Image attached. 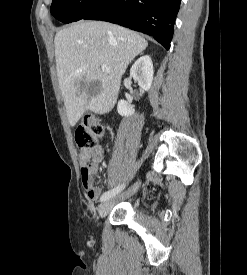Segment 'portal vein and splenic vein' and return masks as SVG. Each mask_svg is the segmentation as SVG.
Listing matches in <instances>:
<instances>
[{
    "label": "portal vein and splenic vein",
    "instance_id": "portal-vein-and-splenic-vein-1",
    "mask_svg": "<svg viewBox=\"0 0 247 275\" xmlns=\"http://www.w3.org/2000/svg\"><path fill=\"white\" fill-rule=\"evenodd\" d=\"M101 69H102L103 72H109L110 71V69L106 65H102Z\"/></svg>",
    "mask_w": 247,
    "mask_h": 275
}]
</instances>
